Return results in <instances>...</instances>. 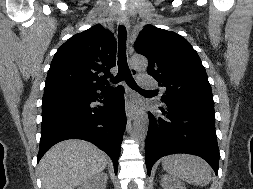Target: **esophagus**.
Instances as JSON below:
<instances>
[{"mask_svg":"<svg viewBox=\"0 0 253 189\" xmlns=\"http://www.w3.org/2000/svg\"><path fill=\"white\" fill-rule=\"evenodd\" d=\"M118 21L121 25L129 28V21L125 15H121L119 17ZM131 72H132L133 76L137 75V71L135 69L131 68ZM126 116H127L128 121H132L136 116L135 110L132 107H130L129 105L126 108Z\"/></svg>","mask_w":253,"mask_h":189,"instance_id":"obj_1","label":"esophagus"}]
</instances>
